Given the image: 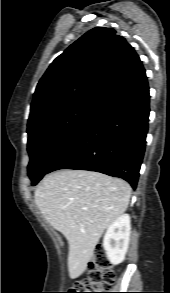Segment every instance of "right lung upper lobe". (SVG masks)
I'll return each mask as SVG.
<instances>
[{
  "label": "right lung upper lobe",
  "instance_id": "1",
  "mask_svg": "<svg viewBox=\"0 0 170 293\" xmlns=\"http://www.w3.org/2000/svg\"><path fill=\"white\" fill-rule=\"evenodd\" d=\"M146 78L125 38L112 28H93L59 55L39 81L28 128L78 104L103 105Z\"/></svg>",
  "mask_w": 170,
  "mask_h": 293
}]
</instances>
